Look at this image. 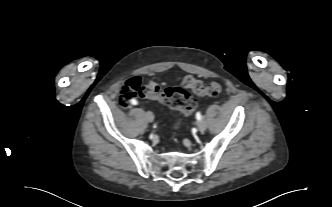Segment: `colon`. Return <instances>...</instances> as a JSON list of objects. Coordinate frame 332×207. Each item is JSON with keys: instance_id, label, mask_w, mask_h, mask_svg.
<instances>
[{"instance_id": "colon-1", "label": "colon", "mask_w": 332, "mask_h": 207, "mask_svg": "<svg viewBox=\"0 0 332 207\" xmlns=\"http://www.w3.org/2000/svg\"><path fill=\"white\" fill-rule=\"evenodd\" d=\"M221 90V85L216 82L205 85L192 76H186L182 79V87H168L163 90L155 82L142 85L139 77H133L122 86L119 93V103L122 107L128 108L133 99L143 97L158 101L188 117L196 106L190 92L197 96H217L221 93ZM181 123L182 119H178L175 126L178 127Z\"/></svg>"}]
</instances>
